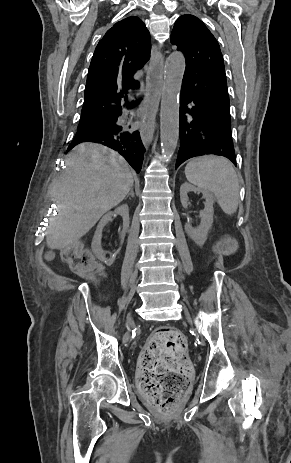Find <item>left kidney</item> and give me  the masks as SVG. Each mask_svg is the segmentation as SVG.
<instances>
[{"instance_id":"1","label":"left kidney","mask_w":291,"mask_h":463,"mask_svg":"<svg viewBox=\"0 0 291 463\" xmlns=\"http://www.w3.org/2000/svg\"><path fill=\"white\" fill-rule=\"evenodd\" d=\"M201 192L203 194V198L205 199V207L202 211H200V219L201 222L198 227H192L190 223H187L185 225V231L187 235L199 246L204 245L205 241L207 240V236L209 233V230L212 227L213 224V215H214V209H213V203H214V196L212 195L211 192L196 188L193 185L189 183H184L180 187V200L182 203V206L184 208L188 207L189 204V198H188V193L189 192Z\"/></svg>"}]
</instances>
